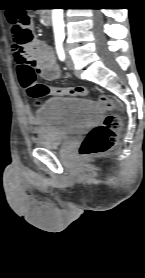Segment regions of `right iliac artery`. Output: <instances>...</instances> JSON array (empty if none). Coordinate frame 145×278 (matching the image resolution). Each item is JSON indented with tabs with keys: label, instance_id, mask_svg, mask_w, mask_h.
I'll return each instance as SVG.
<instances>
[{
	"label": "right iliac artery",
	"instance_id": "right-iliac-artery-1",
	"mask_svg": "<svg viewBox=\"0 0 145 278\" xmlns=\"http://www.w3.org/2000/svg\"><path fill=\"white\" fill-rule=\"evenodd\" d=\"M62 42H63L62 38H56L55 39L57 54H58L60 60L63 61L65 59V53H64V50H63V47H62Z\"/></svg>",
	"mask_w": 145,
	"mask_h": 278
}]
</instances>
